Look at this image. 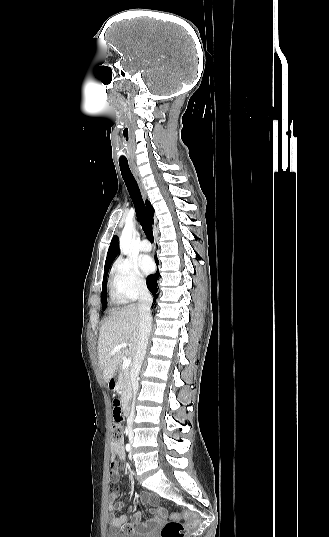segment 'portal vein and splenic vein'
<instances>
[{"mask_svg": "<svg viewBox=\"0 0 329 537\" xmlns=\"http://www.w3.org/2000/svg\"><path fill=\"white\" fill-rule=\"evenodd\" d=\"M127 345H128L127 343H121V344L115 346L114 349L112 350V354H115L120 349L127 347ZM130 364H131V358L125 359L123 361V368H125V369L128 368L130 366Z\"/></svg>", "mask_w": 329, "mask_h": 537, "instance_id": "portal-vein-and-splenic-vein-1", "label": "portal vein and splenic vein"}]
</instances>
